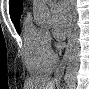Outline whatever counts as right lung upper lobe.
I'll return each instance as SVG.
<instances>
[{"mask_svg":"<svg viewBox=\"0 0 89 89\" xmlns=\"http://www.w3.org/2000/svg\"><path fill=\"white\" fill-rule=\"evenodd\" d=\"M23 1L17 0L15 4V15L13 16V13L11 16V19L13 20L16 30H20V16H21V10H22Z\"/></svg>","mask_w":89,"mask_h":89,"instance_id":"obj_1","label":"right lung upper lobe"}]
</instances>
